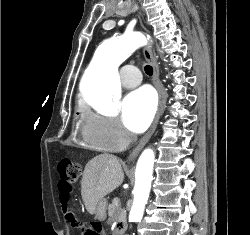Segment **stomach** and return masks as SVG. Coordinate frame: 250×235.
<instances>
[{
    "label": "stomach",
    "mask_w": 250,
    "mask_h": 235,
    "mask_svg": "<svg viewBox=\"0 0 250 235\" xmlns=\"http://www.w3.org/2000/svg\"><path fill=\"white\" fill-rule=\"evenodd\" d=\"M106 208H107V200L102 198L96 205L95 208V217L96 219L103 221L106 218Z\"/></svg>",
    "instance_id": "0dacf381"
}]
</instances>
